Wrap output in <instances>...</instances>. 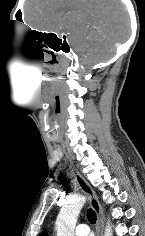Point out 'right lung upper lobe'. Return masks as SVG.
<instances>
[{
	"instance_id": "obj_1",
	"label": "right lung upper lobe",
	"mask_w": 145,
	"mask_h": 236,
	"mask_svg": "<svg viewBox=\"0 0 145 236\" xmlns=\"http://www.w3.org/2000/svg\"><path fill=\"white\" fill-rule=\"evenodd\" d=\"M40 236H48L46 232H42Z\"/></svg>"
}]
</instances>
